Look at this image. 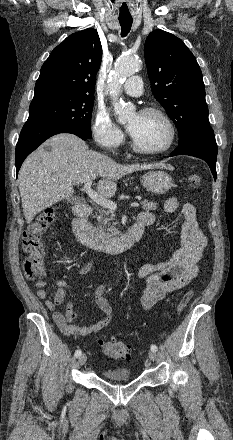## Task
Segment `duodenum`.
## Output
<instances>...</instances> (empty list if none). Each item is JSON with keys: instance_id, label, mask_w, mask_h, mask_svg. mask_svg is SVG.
<instances>
[{"instance_id": "410a0bca", "label": "duodenum", "mask_w": 233, "mask_h": 440, "mask_svg": "<svg viewBox=\"0 0 233 440\" xmlns=\"http://www.w3.org/2000/svg\"><path fill=\"white\" fill-rule=\"evenodd\" d=\"M93 208L86 203H79L74 207L75 218L72 230L75 239L92 249L107 252H120L133 247L143 236L145 227L152 224L150 219L138 218L137 221L122 235L114 238H103L93 233L87 219L92 215Z\"/></svg>"}]
</instances>
